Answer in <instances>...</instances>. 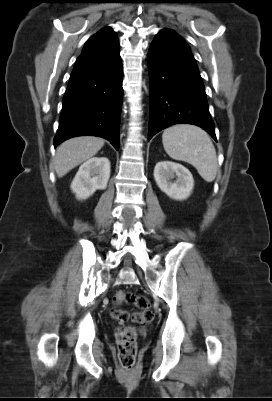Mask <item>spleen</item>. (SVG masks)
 <instances>
[{"label": "spleen", "instance_id": "obj_1", "mask_svg": "<svg viewBox=\"0 0 272 401\" xmlns=\"http://www.w3.org/2000/svg\"><path fill=\"white\" fill-rule=\"evenodd\" d=\"M162 143L172 159L194 166L206 182L214 181L218 168L216 150L204 130L193 125H175L164 130Z\"/></svg>", "mask_w": 272, "mask_h": 401}]
</instances>
